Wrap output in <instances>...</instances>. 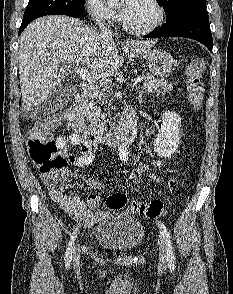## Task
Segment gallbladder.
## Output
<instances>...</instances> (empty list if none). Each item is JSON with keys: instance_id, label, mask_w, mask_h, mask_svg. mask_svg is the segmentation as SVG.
<instances>
[{"instance_id": "gallbladder-1", "label": "gallbladder", "mask_w": 233, "mask_h": 294, "mask_svg": "<svg viewBox=\"0 0 233 294\" xmlns=\"http://www.w3.org/2000/svg\"><path fill=\"white\" fill-rule=\"evenodd\" d=\"M71 94L70 89L61 84L57 86L49 98L44 102V108L46 111H52L57 109L63 102H65Z\"/></svg>"}]
</instances>
